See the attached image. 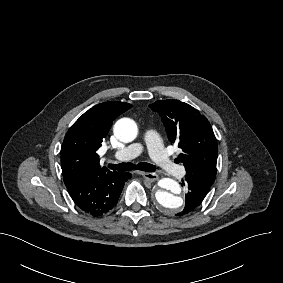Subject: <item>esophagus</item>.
Wrapping results in <instances>:
<instances>
[{"label": "esophagus", "instance_id": "1", "mask_svg": "<svg viewBox=\"0 0 283 283\" xmlns=\"http://www.w3.org/2000/svg\"><path fill=\"white\" fill-rule=\"evenodd\" d=\"M138 173L140 175H142L146 180H148L150 182L156 181L159 178L158 174L153 173V172H141V171H138Z\"/></svg>", "mask_w": 283, "mask_h": 283}]
</instances>
